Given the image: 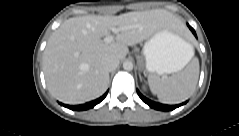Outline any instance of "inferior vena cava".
<instances>
[{
    "label": "inferior vena cava",
    "instance_id": "1",
    "mask_svg": "<svg viewBox=\"0 0 239 136\" xmlns=\"http://www.w3.org/2000/svg\"><path fill=\"white\" fill-rule=\"evenodd\" d=\"M102 65L108 72H111L118 67L119 60L117 58H106L102 61Z\"/></svg>",
    "mask_w": 239,
    "mask_h": 136
}]
</instances>
